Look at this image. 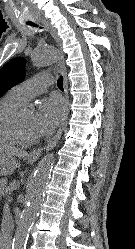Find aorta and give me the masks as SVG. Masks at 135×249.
<instances>
[{
	"instance_id": "762f6f07",
	"label": "aorta",
	"mask_w": 135,
	"mask_h": 249,
	"mask_svg": "<svg viewBox=\"0 0 135 249\" xmlns=\"http://www.w3.org/2000/svg\"><path fill=\"white\" fill-rule=\"evenodd\" d=\"M60 52L52 46L40 47L32 54L33 64L37 67H44L58 62ZM54 155L49 153L39 162L33 177L26 188V206L22 211L19 223L14 235L12 249H25L30 228L37 218L38 212L44 199V192L47 186L50 172L54 164Z\"/></svg>"
}]
</instances>
